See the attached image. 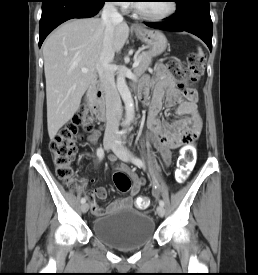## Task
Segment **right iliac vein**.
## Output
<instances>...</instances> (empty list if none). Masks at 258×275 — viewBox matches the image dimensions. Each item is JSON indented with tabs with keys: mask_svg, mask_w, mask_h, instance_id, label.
Segmentation results:
<instances>
[{
	"mask_svg": "<svg viewBox=\"0 0 258 275\" xmlns=\"http://www.w3.org/2000/svg\"><path fill=\"white\" fill-rule=\"evenodd\" d=\"M103 146H104L105 150H107V151L110 150L111 147L113 146V140L110 138L105 139L103 142ZM88 209H89V204L83 203L81 206V211L83 213H86L88 211Z\"/></svg>",
	"mask_w": 258,
	"mask_h": 275,
	"instance_id": "1",
	"label": "right iliac vein"
}]
</instances>
